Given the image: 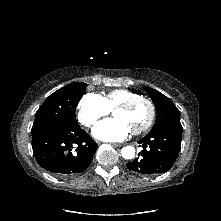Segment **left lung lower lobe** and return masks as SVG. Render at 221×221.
I'll return each instance as SVG.
<instances>
[{"label":"left lung lower lobe","mask_w":221,"mask_h":221,"mask_svg":"<svg viewBox=\"0 0 221 221\" xmlns=\"http://www.w3.org/2000/svg\"><path fill=\"white\" fill-rule=\"evenodd\" d=\"M182 131V126L177 124H165L152 129L138 141L139 146L143 147L140 157L127 164V167L145 175L168 171L179 154Z\"/></svg>","instance_id":"1"}]
</instances>
